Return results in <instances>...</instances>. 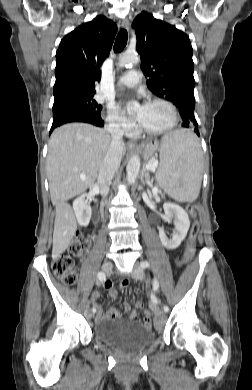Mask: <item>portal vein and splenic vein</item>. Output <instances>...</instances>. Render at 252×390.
<instances>
[{
  "mask_svg": "<svg viewBox=\"0 0 252 390\" xmlns=\"http://www.w3.org/2000/svg\"><path fill=\"white\" fill-rule=\"evenodd\" d=\"M157 166H158V160H152L150 163H148L146 165V170L154 172ZM82 179L84 180L83 177H82ZM152 191H153L154 194H157V189L156 188H152Z\"/></svg>",
  "mask_w": 252,
  "mask_h": 390,
  "instance_id": "1",
  "label": "portal vein and splenic vein"
}]
</instances>
